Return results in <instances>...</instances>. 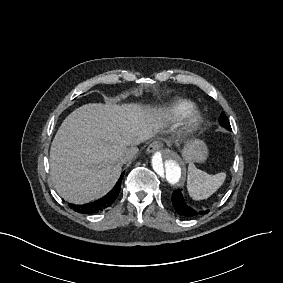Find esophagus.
Returning a JSON list of instances; mask_svg holds the SVG:
<instances>
[{"mask_svg": "<svg viewBox=\"0 0 283 283\" xmlns=\"http://www.w3.org/2000/svg\"><path fill=\"white\" fill-rule=\"evenodd\" d=\"M162 145H163V143L160 140H155L148 146L147 151L149 153H152L154 151L161 149Z\"/></svg>", "mask_w": 283, "mask_h": 283, "instance_id": "esophagus-1", "label": "esophagus"}]
</instances>
